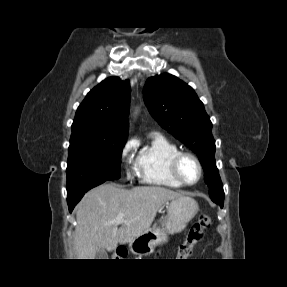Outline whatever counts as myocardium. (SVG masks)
Returning a JSON list of instances; mask_svg holds the SVG:
<instances>
[{
  "label": "myocardium",
  "mask_w": 287,
  "mask_h": 287,
  "mask_svg": "<svg viewBox=\"0 0 287 287\" xmlns=\"http://www.w3.org/2000/svg\"><path fill=\"white\" fill-rule=\"evenodd\" d=\"M185 158H190L192 159L195 164L197 165L198 167V170H199V176L197 178V180L193 183H189V182H186L183 178H182V175H181V171H180V165L182 163V161L185 159ZM171 173L173 175V177L182 185V186H187V187H191V186H194L196 184H198L200 182V180L202 179V176H203V166L199 160V158L191 153V152H183V151H180L171 161Z\"/></svg>",
  "instance_id": "f54148a6"
}]
</instances>
